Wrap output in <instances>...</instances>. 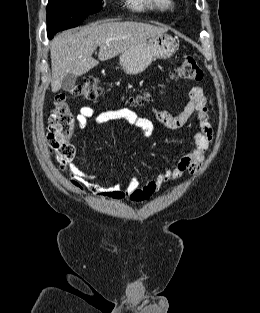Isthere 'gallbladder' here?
Returning <instances> with one entry per match:
<instances>
[{"label":"gallbladder","mask_w":260,"mask_h":313,"mask_svg":"<svg viewBox=\"0 0 260 313\" xmlns=\"http://www.w3.org/2000/svg\"><path fill=\"white\" fill-rule=\"evenodd\" d=\"M76 79H77L76 75L71 73L67 74L62 81L61 85L62 90L70 91L75 86Z\"/></svg>","instance_id":"obj_1"}]
</instances>
